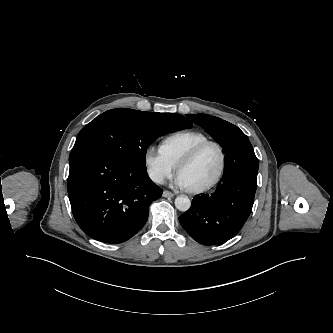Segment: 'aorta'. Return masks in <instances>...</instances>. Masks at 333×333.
<instances>
[{"instance_id":"aorta-1","label":"aorta","mask_w":333,"mask_h":333,"mask_svg":"<svg viewBox=\"0 0 333 333\" xmlns=\"http://www.w3.org/2000/svg\"><path fill=\"white\" fill-rule=\"evenodd\" d=\"M175 206L179 211L185 212L191 206V201L187 196H178L175 199Z\"/></svg>"}]
</instances>
